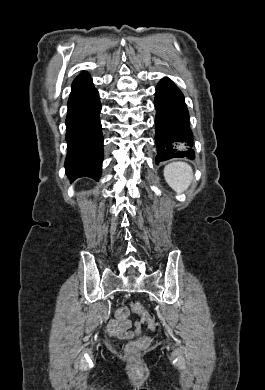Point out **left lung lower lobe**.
I'll use <instances>...</instances> for the list:
<instances>
[{
    "mask_svg": "<svg viewBox=\"0 0 265 390\" xmlns=\"http://www.w3.org/2000/svg\"><path fill=\"white\" fill-rule=\"evenodd\" d=\"M156 164L172 158L194 159L189 113L180 89L163 78L156 87Z\"/></svg>",
    "mask_w": 265,
    "mask_h": 390,
    "instance_id": "left-lung-lower-lobe-1",
    "label": "left lung lower lobe"
}]
</instances>
